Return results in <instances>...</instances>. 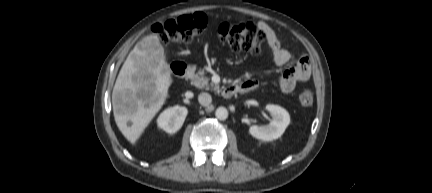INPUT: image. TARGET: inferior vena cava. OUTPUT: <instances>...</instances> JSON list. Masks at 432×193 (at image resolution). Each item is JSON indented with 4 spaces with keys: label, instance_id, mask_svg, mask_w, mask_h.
Masks as SVG:
<instances>
[{
    "label": "inferior vena cava",
    "instance_id": "obj_1",
    "mask_svg": "<svg viewBox=\"0 0 432 193\" xmlns=\"http://www.w3.org/2000/svg\"><path fill=\"white\" fill-rule=\"evenodd\" d=\"M198 101L201 105L208 106L209 104H211L212 98L210 94L203 92L199 94Z\"/></svg>",
    "mask_w": 432,
    "mask_h": 193
}]
</instances>
